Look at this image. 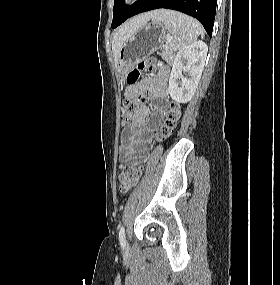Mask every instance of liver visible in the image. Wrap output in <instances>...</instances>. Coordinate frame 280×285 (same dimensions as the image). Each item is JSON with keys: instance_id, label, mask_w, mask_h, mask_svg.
Returning a JSON list of instances; mask_svg holds the SVG:
<instances>
[{"instance_id": "6515ba94", "label": "liver", "mask_w": 280, "mask_h": 285, "mask_svg": "<svg viewBox=\"0 0 280 285\" xmlns=\"http://www.w3.org/2000/svg\"><path fill=\"white\" fill-rule=\"evenodd\" d=\"M156 15L157 11L144 13L130 19L121 27H119L112 39V51L115 63L118 62V56L123 42L127 38H129L136 30H138L142 25L146 24L150 19H153Z\"/></svg>"}]
</instances>
